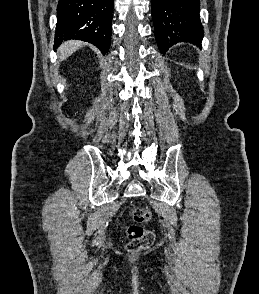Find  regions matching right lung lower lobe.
<instances>
[{
  "instance_id": "right-lung-lower-lobe-1",
  "label": "right lung lower lobe",
  "mask_w": 259,
  "mask_h": 294,
  "mask_svg": "<svg viewBox=\"0 0 259 294\" xmlns=\"http://www.w3.org/2000/svg\"><path fill=\"white\" fill-rule=\"evenodd\" d=\"M113 0H59L55 44L78 39L108 52L111 39Z\"/></svg>"
}]
</instances>
